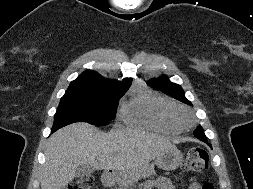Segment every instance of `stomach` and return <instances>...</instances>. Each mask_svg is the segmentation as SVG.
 <instances>
[{
  "label": "stomach",
  "instance_id": "0dacf381",
  "mask_svg": "<svg viewBox=\"0 0 253 189\" xmlns=\"http://www.w3.org/2000/svg\"><path fill=\"white\" fill-rule=\"evenodd\" d=\"M183 155L176 147L165 150L156 157V165L163 170H175L182 162ZM117 174H111L104 181L105 183H112L117 179Z\"/></svg>",
  "mask_w": 253,
  "mask_h": 189
}]
</instances>
